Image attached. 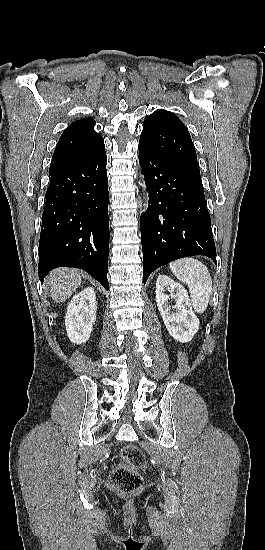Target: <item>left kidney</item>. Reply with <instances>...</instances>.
I'll use <instances>...</instances> for the list:
<instances>
[{
    "instance_id": "5707ae66",
    "label": "left kidney",
    "mask_w": 265,
    "mask_h": 550,
    "mask_svg": "<svg viewBox=\"0 0 265 550\" xmlns=\"http://www.w3.org/2000/svg\"><path fill=\"white\" fill-rule=\"evenodd\" d=\"M170 297L175 300L174 311L169 306ZM156 302L169 334L181 343L191 341L199 329V319L186 289L166 275H160L156 281Z\"/></svg>"
}]
</instances>
